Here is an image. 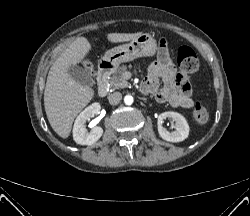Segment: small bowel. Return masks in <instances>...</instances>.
<instances>
[{
    "label": "small bowel",
    "instance_id": "obj_1",
    "mask_svg": "<svg viewBox=\"0 0 250 216\" xmlns=\"http://www.w3.org/2000/svg\"><path fill=\"white\" fill-rule=\"evenodd\" d=\"M141 88L143 92L155 96L160 103H168L173 107L186 109L194 106L189 77L176 73L164 51L150 65L148 76L143 81Z\"/></svg>",
    "mask_w": 250,
    "mask_h": 216
}]
</instances>
